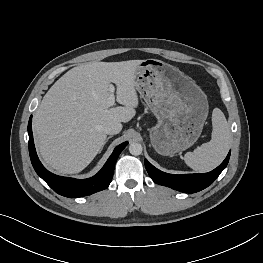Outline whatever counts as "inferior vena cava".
<instances>
[{"label": "inferior vena cava", "mask_w": 263, "mask_h": 263, "mask_svg": "<svg viewBox=\"0 0 263 263\" xmlns=\"http://www.w3.org/2000/svg\"><path fill=\"white\" fill-rule=\"evenodd\" d=\"M121 129L122 124L119 121H113L105 126L104 131L106 134L114 135L118 134L121 131Z\"/></svg>", "instance_id": "1"}]
</instances>
